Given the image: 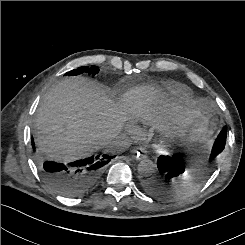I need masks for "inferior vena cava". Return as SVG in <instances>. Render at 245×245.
<instances>
[{
    "instance_id": "inferior-vena-cava-1",
    "label": "inferior vena cava",
    "mask_w": 245,
    "mask_h": 245,
    "mask_svg": "<svg viewBox=\"0 0 245 245\" xmlns=\"http://www.w3.org/2000/svg\"><path fill=\"white\" fill-rule=\"evenodd\" d=\"M108 144V149L114 153H118L125 151L131 145V140L126 135H120L115 137L113 140H110Z\"/></svg>"
}]
</instances>
